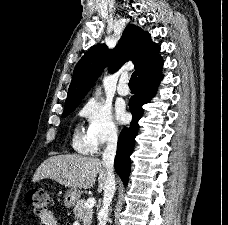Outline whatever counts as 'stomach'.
Listing matches in <instances>:
<instances>
[{"instance_id":"stomach-1","label":"stomach","mask_w":228,"mask_h":225,"mask_svg":"<svg viewBox=\"0 0 228 225\" xmlns=\"http://www.w3.org/2000/svg\"><path fill=\"white\" fill-rule=\"evenodd\" d=\"M81 191L79 189H67L64 197L66 207H73L76 201H79Z\"/></svg>"}]
</instances>
